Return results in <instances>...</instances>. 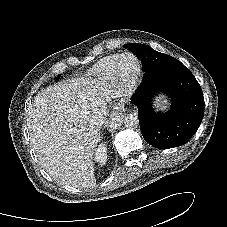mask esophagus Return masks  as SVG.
Here are the masks:
<instances>
[{"label":"esophagus","instance_id":"obj_1","mask_svg":"<svg viewBox=\"0 0 227 227\" xmlns=\"http://www.w3.org/2000/svg\"><path fill=\"white\" fill-rule=\"evenodd\" d=\"M116 109H118V111H120V108L119 107H117Z\"/></svg>","mask_w":227,"mask_h":227}]
</instances>
